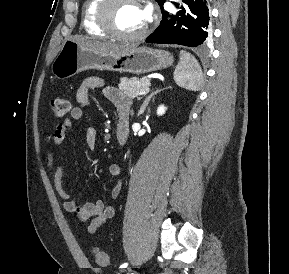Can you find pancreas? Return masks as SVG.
<instances>
[{
    "label": "pancreas",
    "mask_w": 289,
    "mask_h": 274,
    "mask_svg": "<svg viewBox=\"0 0 289 274\" xmlns=\"http://www.w3.org/2000/svg\"><path fill=\"white\" fill-rule=\"evenodd\" d=\"M150 81L147 79H126L122 78L118 85L119 90L129 98L140 99L139 92L149 87Z\"/></svg>",
    "instance_id": "1"
}]
</instances>
